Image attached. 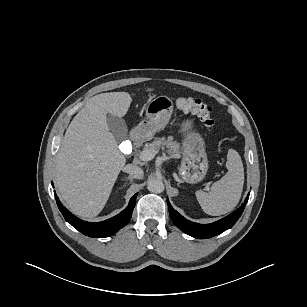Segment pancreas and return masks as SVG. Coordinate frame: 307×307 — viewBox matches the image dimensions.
I'll return each instance as SVG.
<instances>
[{
	"instance_id": "obj_1",
	"label": "pancreas",
	"mask_w": 307,
	"mask_h": 307,
	"mask_svg": "<svg viewBox=\"0 0 307 307\" xmlns=\"http://www.w3.org/2000/svg\"><path fill=\"white\" fill-rule=\"evenodd\" d=\"M146 149H151L158 152L160 149L165 150L169 155L179 157L181 153V148L177 141L173 140L172 136H169L167 139L155 138L154 141L146 145Z\"/></svg>"
}]
</instances>
